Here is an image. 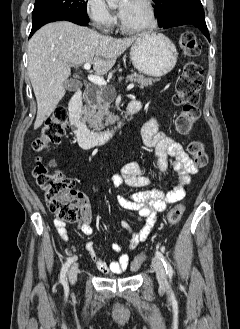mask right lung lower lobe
Segmentation results:
<instances>
[{"instance_id": "obj_1", "label": "right lung lower lobe", "mask_w": 240, "mask_h": 329, "mask_svg": "<svg viewBox=\"0 0 240 329\" xmlns=\"http://www.w3.org/2000/svg\"><path fill=\"white\" fill-rule=\"evenodd\" d=\"M57 20H66L73 22L75 24L81 25V26H87L89 21L73 18V17H66V16H58V15H41L33 18V25L32 30L30 33V37L35 33L36 30H38L41 26H43L46 23L54 22Z\"/></svg>"}]
</instances>
